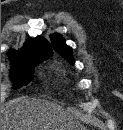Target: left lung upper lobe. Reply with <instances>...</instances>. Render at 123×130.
<instances>
[{
    "label": "left lung upper lobe",
    "instance_id": "5c2ea615",
    "mask_svg": "<svg viewBox=\"0 0 123 130\" xmlns=\"http://www.w3.org/2000/svg\"><path fill=\"white\" fill-rule=\"evenodd\" d=\"M51 39L55 50L61 56H63L70 64L74 65L72 49L66 45L65 40L59 34H52Z\"/></svg>",
    "mask_w": 123,
    "mask_h": 130
}]
</instances>
